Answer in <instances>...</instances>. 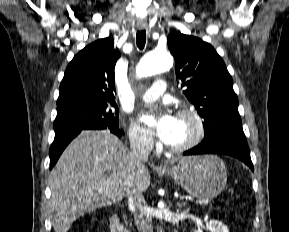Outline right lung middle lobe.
<instances>
[{"label": "right lung middle lobe", "instance_id": "1", "mask_svg": "<svg viewBox=\"0 0 289 232\" xmlns=\"http://www.w3.org/2000/svg\"><path fill=\"white\" fill-rule=\"evenodd\" d=\"M119 127V112L115 102L77 101L57 107L55 134L73 129H103Z\"/></svg>", "mask_w": 289, "mask_h": 232}]
</instances>
